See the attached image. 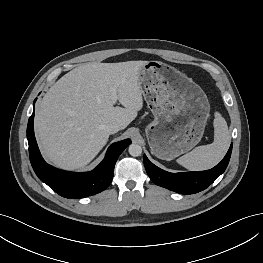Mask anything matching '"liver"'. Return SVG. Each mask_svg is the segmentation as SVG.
I'll return each mask as SVG.
<instances>
[{
  "label": "liver",
  "instance_id": "1",
  "mask_svg": "<svg viewBox=\"0 0 263 263\" xmlns=\"http://www.w3.org/2000/svg\"><path fill=\"white\" fill-rule=\"evenodd\" d=\"M147 61L87 63L61 77L44 95L35 114V133L54 165L80 169L109 138L105 126L126 128L143 107L139 71ZM124 107L114 106L112 90Z\"/></svg>",
  "mask_w": 263,
  "mask_h": 263
}]
</instances>
